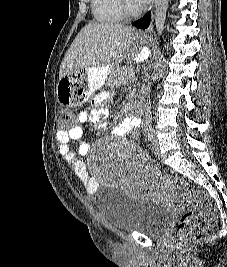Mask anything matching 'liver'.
I'll return each mask as SVG.
<instances>
[{"instance_id":"liver-1","label":"liver","mask_w":227,"mask_h":267,"mask_svg":"<svg viewBox=\"0 0 227 267\" xmlns=\"http://www.w3.org/2000/svg\"><path fill=\"white\" fill-rule=\"evenodd\" d=\"M138 36V31L119 23L90 22L85 25L68 49L59 78L80 69L117 63Z\"/></svg>"}]
</instances>
